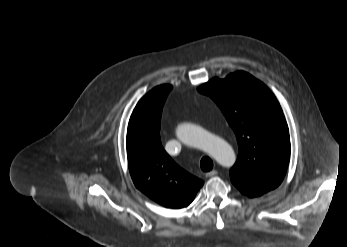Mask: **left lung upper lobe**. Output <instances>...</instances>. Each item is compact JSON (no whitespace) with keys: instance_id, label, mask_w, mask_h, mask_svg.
<instances>
[{"instance_id":"left-lung-upper-lobe-1","label":"left lung upper lobe","mask_w":347,"mask_h":247,"mask_svg":"<svg viewBox=\"0 0 347 247\" xmlns=\"http://www.w3.org/2000/svg\"><path fill=\"white\" fill-rule=\"evenodd\" d=\"M198 91L210 96L234 130L238 159L230 169L232 183L268 192L278 187L290 160V137L273 93L244 71L213 78Z\"/></svg>"}]
</instances>
